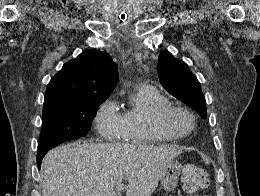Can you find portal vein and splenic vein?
Masks as SVG:
<instances>
[{
	"label": "portal vein and splenic vein",
	"instance_id": "obj_1",
	"mask_svg": "<svg viewBox=\"0 0 260 196\" xmlns=\"http://www.w3.org/2000/svg\"><path fill=\"white\" fill-rule=\"evenodd\" d=\"M117 192H122L124 190V184H119V186H115Z\"/></svg>",
	"mask_w": 260,
	"mask_h": 196
}]
</instances>
